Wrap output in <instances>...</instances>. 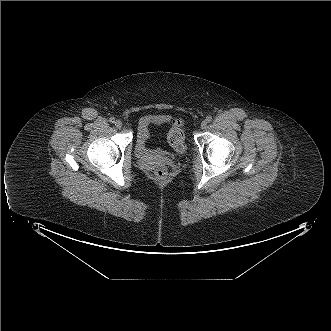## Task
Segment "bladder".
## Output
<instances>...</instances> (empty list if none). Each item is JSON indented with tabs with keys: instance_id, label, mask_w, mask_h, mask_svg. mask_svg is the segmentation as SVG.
<instances>
[{
	"instance_id": "obj_1",
	"label": "bladder",
	"mask_w": 331,
	"mask_h": 331,
	"mask_svg": "<svg viewBox=\"0 0 331 331\" xmlns=\"http://www.w3.org/2000/svg\"><path fill=\"white\" fill-rule=\"evenodd\" d=\"M163 122L164 119L161 117L155 119H145L140 122L135 136V151L139 157L148 159H161L171 155V151L165 147L159 144L152 145V126L156 124H162ZM177 152L181 154L185 153L186 146L183 145V147L177 150Z\"/></svg>"
}]
</instances>
